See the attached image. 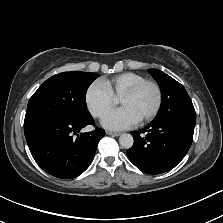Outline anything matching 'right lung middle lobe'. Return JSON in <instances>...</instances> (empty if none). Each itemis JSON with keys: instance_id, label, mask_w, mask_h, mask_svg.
<instances>
[{"instance_id": "obj_1", "label": "right lung middle lobe", "mask_w": 223, "mask_h": 223, "mask_svg": "<svg viewBox=\"0 0 223 223\" xmlns=\"http://www.w3.org/2000/svg\"><path fill=\"white\" fill-rule=\"evenodd\" d=\"M98 76L89 72H63L50 77L30 98L24 124L45 119L91 118L86 92Z\"/></svg>"}]
</instances>
